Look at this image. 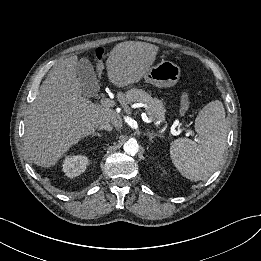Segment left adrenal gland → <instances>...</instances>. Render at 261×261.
Listing matches in <instances>:
<instances>
[{"mask_svg": "<svg viewBox=\"0 0 261 261\" xmlns=\"http://www.w3.org/2000/svg\"><path fill=\"white\" fill-rule=\"evenodd\" d=\"M145 135L148 136L150 142H152L153 138H155V137H157V136H158V137H161L160 134L153 133V132L151 133V132H149V131H147V132L145 133Z\"/></svg>", "mask_w": 261, "mask_h": 261, "instance_id": "obj_1", "label": "left adrenal gland"}]
</instances>
